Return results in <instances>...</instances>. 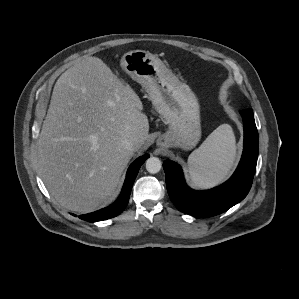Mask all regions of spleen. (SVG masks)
<instances>
[{
    "label": "spleen",
    "instance_id": "1",
    "mask_svg": "<svg viewBox=\"0 0 299 299\" xmlns=\"http://www.w3.org/2000/svg\"><path fill=\"white\" fill-rule=\"evenodd\" d=\"M235 158L233 130L230 125L222 124L190 154L188 166L192 183L199 187L217 184L228 175Z\"/></svg>",
    "mask_w": 299,
    "mask_h": 299
}]
</instances>
